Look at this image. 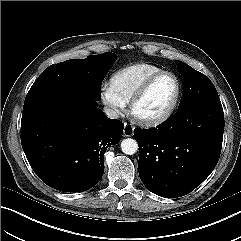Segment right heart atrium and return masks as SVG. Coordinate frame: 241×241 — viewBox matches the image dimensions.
<instances>
[{
	"instance_id": "right-heart-atrium-1",
	"label": "right heart atrium",
	"mask_w": 241,
	"mask_h": 241,
	"mask_svg": "<svg viewBox=\"0 0 241 241\" xmlns=\"http://www.w3.org/2000/svg\"><path fill=\"white\" fill-rule=\"evenodd\" d=\"M101 100L108 110L114 115L122 113L127 105L110 83H105L102 85Z\"/></svg>"
}]
</instances>
